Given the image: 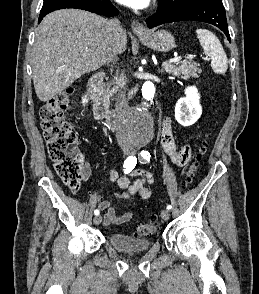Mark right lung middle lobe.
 <instances>
[{
  "label": "right lung middle lobe",
  "mask_w": 259,
  "mask_h": 294,
  "mask_svg": "<svg viewBox=\"0 0 259 294\" xmlns=\"http://www.w3.org/2000/svg\"><path fill=\"white\" fill-rule=\"evenodd\" d=\"M60 1V0H44L42 9L48 8L49 6H51L53 3ZM78 1H83V0H78Z\"/></svg>",
  "instance_id": "right-lung-middle-lobe-1"
}]
</instances>
